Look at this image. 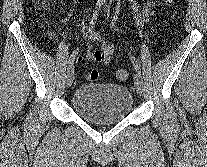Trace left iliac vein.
Returning <instances> with one entry per match:
<instances>
[{
  "label": "left iliac vein",
  "mask_w": 207,
  "mask_h": 167,
  "mask_svg": "<svg viewBox=\"0 0 207 167\" xmlns=\"http://www.w3.org/2000/svg\"><path fill=\"white\" fill-rule=\"evenodd\" d=\"M134 84H135L137 93L141 95L143 93V81H142L141 75L138 73L134 75Z\"/></svg>",
  "instance_id": "4c4485c4"
}]
</instances>
